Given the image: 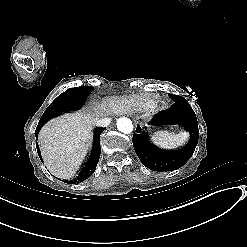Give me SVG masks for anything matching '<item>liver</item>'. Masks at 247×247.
I'll use <instances>...</instances> for the list:
<instances>
[{"label":"liver","instance_id":"6515ba94","mask_svg":"<svg viewBox=\"0 0 247 247\" xmlns=\"http://www.w3.org/2000/svg\"><path fill=\"white\" fill-rule=\"evenodd\" d=\"M97 118L64 115L48 122L40 132L39 145L47 169L58 178H71L82 162L90 131Z\"/></svg>","mask_w":247,"mask_h":247}]
</instances>
